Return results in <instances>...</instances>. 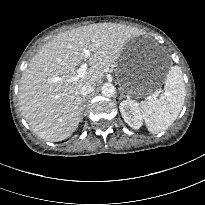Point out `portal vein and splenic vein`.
<instances>
[{
  "label": "portal vein and splenic vein",
  "mask_w": 205,
  "mask_h": 205,
  "mask_svg": "<svg viewBox=\"0 0 205 205\" xmlns=\"http://www.w3.org/2000/svg\"><path fill=\"white\" fill-rule=\"evenodd\" d=\"M84 59L85 61L81 64V66L78 68L77 73L75 76H72L69 80L70 81H76L80 78H83L85 76V73L87 71L88 65H87V59L91 56V52L87 49H83ZM62 78L60 77H54L52 79L53 82H60Z\"/></svg>",
  "instance_id": "18ae733b"
}]
</instances>
